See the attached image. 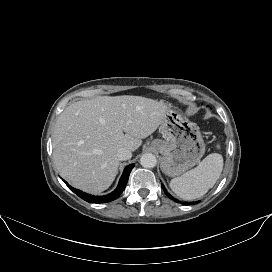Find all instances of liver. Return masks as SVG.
I'll return each mask as SVG.
<instances>
[{
    "label": "liver",
    "mask_w": 272,
    "mask_h": 272,
    "mask_svg": "<svg viewBox=\"0 0 272 272\" xmlns=\"http://www.w3.org/2000/svg\"><path fill=\"white\" fill-rule=\"evenodd\" d=\"M168 110L163 101L129 95L71 104L58 117L52 136L58 172L76 188L101 193L117 174V150H137Z\"/></svg>",
    "instance_id": "obj_1"
}]
</instances>
